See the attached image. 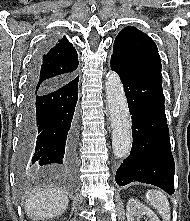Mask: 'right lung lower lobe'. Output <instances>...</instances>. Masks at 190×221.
Wrapping results in <instances>:
<instances>
[{"mask_svg": "<svg viewBox=\"0 0 190 221\" xmlns=\"http://www.w3.org/2000/svg\"><path fill=\"white\" fill-rule=\"evenodd\" d=\"M36 68L25 91L19 168L28 173L45 165L75 164L78 129L74 115L79 76L36 87Z\"/></svg>", "mask_w": 190, "mask_h": 221, "instance_id": "right-lung-lower-lobe-1", "label": "right lung lower lobe"}]
</instances>
